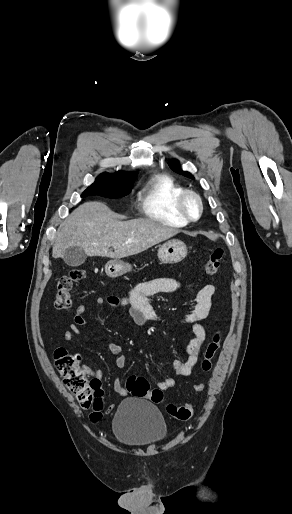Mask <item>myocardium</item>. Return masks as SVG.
<instances>
[{
	"mask_svg": "<svg viewBox=\"0 0 292 514\" xmlns=\"http://www.w3.org/2000/svg\"><path fill=\"white\" fill-rule=\"evenodd\" d=\"M189 198L193 199L197 205V215L195 217H192L185 210V202ZM173 206L175 212L187 222L197 221L200 219L203 213V203L201 197L195 191L189 189H183L174 196Z\"/></svg>",
	"mask_w": 292,
	"mask_h": 514,
	"instance_id": "myocardium-1",
	"label": "myocardium"
}]
</instances>
